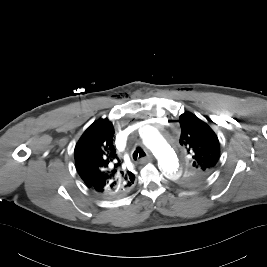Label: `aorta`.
<instances>
[{
  "label": "aorta",
  "mask_w": 267,
  "mask_h": 267,
  "mask_svg": "<svg viewBox=\"0 0 267 267\" xmlns=\"http://www.w3.org/2000/svg\"><path fill=\"white\" fill-rule=\"evenodd\" d=\"M143 143L155 154L158 159V165L164 175L172 181L178 180L181 176L179 159L175 151L155 128L148 127L145 130Z\"/></svg>",
  "instance_id": "1"
}]
</instances>
